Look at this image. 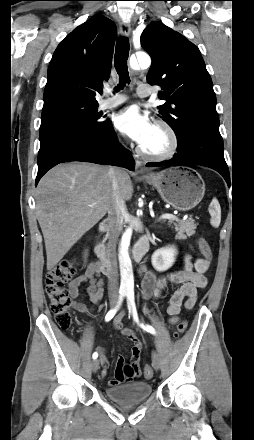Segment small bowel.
Instances as JSON below:
<instances>
[{"label": "small bowel", "instance_id": "small-bowel-1", "mask_svg": "<svg viewBox=\"0 0 254 440\" xmlns=\"http://www.w3.org/2000/svg\"><path fill=\"white\" fill-rule=\"evenodd\" d=\"M207 269L208 262L203 258H197L193 261L189 254L184 256L182 269L170 272L166 275L159 276L154 271L143 267L140 270L143 299L146 302L156 300L168 284H178L179 288L172 294L167 307L169 322L175 324L179 320L182 305L186 310L192 309L196 303L198 291L207 286L208 280L205 276ZM99 273V263L94 262L90 264L81 275L77 276L69 283L68 291L72 298V306L76 311L82 313L91 311L84 303L76 301L80 288L84 284H88L87 293L93 303L98 304L102 301L103 282L99 277ZM144 312L150 313V309L145 306ZM122 317L123 315H119L115 318L114 326L129 340V364L135 370L136 374L139 375L142 342L134 331L124 326ZM98 352L103 367L102 376H105L109 361L105 356L103 347H98ZM124 366V358L120 356L117 361L114 378L108 381L109 387L118 386L126 382Z\"/></svg>", "mask_w": 254, "mask_h": 440}]
</instances>
